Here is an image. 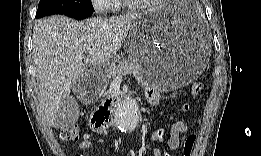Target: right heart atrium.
<instances>
[{"label":"right heart atrium","instance_id":"1","mask_svg":"<svg viewBox=\"0 0 261 156\" xmlns=\"http://www.w3.org/2000/svg\"><path fill=\"white\" fill-rule=\"evenodd\" d=\"M95 5L102 10H114L116 7L115 1L112 0L97 1Z\"/></svg>","mask_w":261,"mask_h":156}]
</instances>
